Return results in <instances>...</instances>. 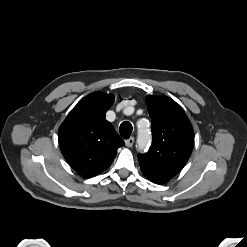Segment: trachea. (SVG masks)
Wrapping results in <instances>:
<instances>
[{"label":"trachea","instance_id":"3493384b","mask_svg":"<svg viewBox=\"0 0 247 247\" xmlns=\"http://www.w3.org/2000/svg\"><path fill=\"white\" fill-rule=\"evenodd\" d=\"M132 129L133 127L130 122L128 121L122 122L119 128L121 137L124 139H128L132 133Z\"/></svg>","mask_w":247,"mask_h":247}]
</instances>
